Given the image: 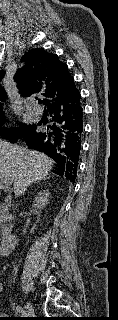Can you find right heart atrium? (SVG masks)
I'll use <instances>...</instances> for the list:
<instances>
[{"label": "right heart atrium", "mask_w": 118, "mask_h": 320, "mask_svg": "<svg viewBox=\"0 0 118 320\" xmlns=\"http://www.w3.org/2000/svg\"><path fill=\"white\" fill-rule=\"evenodd\" d=\"M5 132H6V129H5V128H3V129H2V133H5Z\"/></svg>", "instance_id": "d8ad5b80"}]
</instances>
